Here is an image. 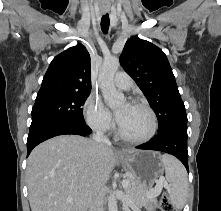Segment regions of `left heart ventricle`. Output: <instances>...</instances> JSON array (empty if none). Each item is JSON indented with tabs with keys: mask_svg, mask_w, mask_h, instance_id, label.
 <instances>
[{
	"mask_svg": "<svg viewBox=\"0 0 221 211\" xmlns=\"http://www.w3.org/2000/svg\"><path fill=\"white\" fill-rule=\"evenodd\" d=\"M116 112L121 113L119 126L128 137L142 138L149 133L151 118L142 107L123 102L117 107Z\"/></svg>",
	"mask_w": 221,
	"mask_h": 211,
	"instance_id": "left-heart-ventricle-1",
	"label": "left heart ventricle"
}]
</instances>
